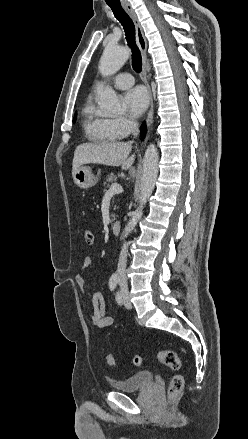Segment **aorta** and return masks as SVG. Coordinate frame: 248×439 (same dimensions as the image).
Returning a JSON list of instances; mask_svg holds the SVG:
<instances>
[{"label": "aorta", "mask_w": 248, "mask_h": 439, "mask_svg": "<svg viewBox=\"0 0 248 439\" xmlns=\"http://www.w3.org/2000/svg\"><path fill=\"white\" fill-rule=\"evenodd\" d=\"M129 57V50L122 46L108 45L99 62V72L105 76L115 74ZM99 107L105 114L119 113L122 108L119 98L111 87H103L99 92ZM158 176V152L154 144H150L144 155L143 173L140 184L139 206L132 212L131 218L123 230L126 238L142 218L143 209L151 196Z\"/></svg>", "instance_id": "aorta-1"}]
</instances>
